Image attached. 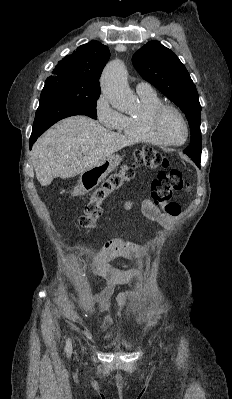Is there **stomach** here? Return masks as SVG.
<instances>
[{"label": "stomach", "mask_w": 232, "mask_h": 399, "mask_svg": "<svg viewBox=\"0 0 232 399\" xmlns=\"http://www.w3.org/2000/svg\"><path fill=\"white\" fill-rule=\"evenodd\" d=\"M122 158L116 156V154H111L108 158H105L99 166L87 170V172H82L80 176V192L86 194L90 192L93 188H96L110 172H113L117 166H119Z\"/></svg>", "instance_id": "obj_1"}]
</instances>
